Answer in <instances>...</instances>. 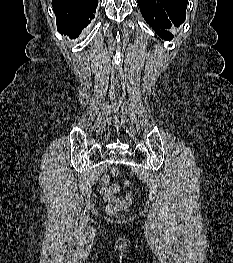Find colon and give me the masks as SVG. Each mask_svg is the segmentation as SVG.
<instances>
[{"label":"colon","instance_id":"obj_1","mask_svg":"<svg viewBox=\"0 0 233 263\" xmlns=\"http://www.w3.org/2000/svg\"><path fill=\"white\" fill-rule=\"evenodd\" d=\"M111 174L113 176H117L118 175V169L117 168H112L111 169ZM126 185H129L128 182H125ZM132 203V196L130 194H126L125 198L121 201H119L118 203L115 204H111L108 206L107 211L110 215L115 216L118 214V212H120L123 209H126L127 207H129Z\"/></svg>","mask_w":233,"mask_h":263}]
</instances>
